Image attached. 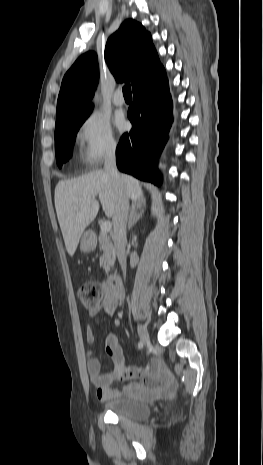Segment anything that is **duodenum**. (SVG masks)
<instances>
[{"label": "duodenum", "mask_w": 263, "mask_h": 465, "mask_svg": "<svg viewBox=\"0 0 263 465\" xmlns=\"http://www.w3.org/2000/svg\"><path fill=\"white\" fill-rule=\"evenodd\" d=\"M108 285L115 297L122 298L123 288L120 278L117 275H111L108 279Z\"/></svg>", "instance_id": "duodenum-1"}]
</instances>
